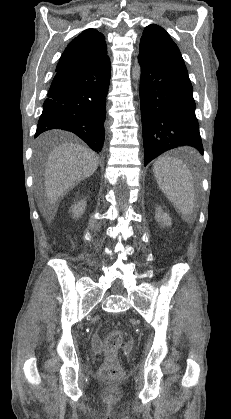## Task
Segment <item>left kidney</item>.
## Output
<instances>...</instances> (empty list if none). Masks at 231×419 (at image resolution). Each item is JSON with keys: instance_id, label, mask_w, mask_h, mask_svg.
Returning a JSON list of instances; mask_svg holds the SVG:
<instances>
[{"instance_id": "left-kidney-1", "label": "left kidney", "mask_w": 231, "mask_h": 419, "mask_svg": "<svg viewBox=\"0 0 231 419\" xmlns=\"http://www.w3.org/2000/svg\"><path fill=\"white\" fill-rule=\"evenodd\" d=\"M155 219L162 224V226H171V218L169 214L164 213L161 207H158L155 211Z\"/></svg>"}]
</instances>
